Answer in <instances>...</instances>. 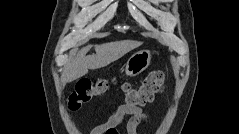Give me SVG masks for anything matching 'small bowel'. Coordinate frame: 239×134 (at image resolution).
<instances>
[{"label":"small bowel","mask_w":239,"mask_h":134,"mask_svg":"<svg viewBox=\"0 0 239 134\" xmlns=\"http://www.w3.org/2000/svg\"><path fill=\"white\" fill-rule=\"evenodd\" d=\"M126 115H131L126 125L127 134H136L137 127L141 123L148 121L147 115L140 108L123 104L113 111L105 123L93 126L90 130V134H118V126L122 123Z\"/></svg>","instance_id":"c3829d8e"}]
</instances>
